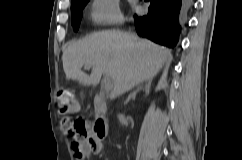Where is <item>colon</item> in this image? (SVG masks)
Segmentation results:
<instances>
[{"label":"colon","mask_w":242,"mask_h":160,"mask_svg":"<svg viewBox=\"0 0 242 160\" xmlns=\"http://www.w3.org/2000/svg\"><path fill=\"white\" fill-rule=\"evenodd\" d=\"M58 107L62 114L76 112V104L69 89L62 88L58 92ZM63 124L68 134L74 138L73 146L78 147V140L86 135V121L79 116H65ZM100 151V143L94 141L92 150L88 155L97 154Z\"/></svg>","instance_id":"obj_1"}]
</instances>
